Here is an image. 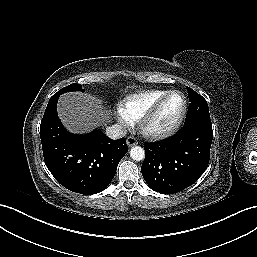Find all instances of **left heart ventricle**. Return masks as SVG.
Masks as SVG:
<instances>
[{
  "instance_id": "b2bd125f",
  "label": "left heart ventricle",
  "mask_w": 257,
  "mask_h": 257,
  "mask_svg": "<svg viewBox=\"0 0 257 257\" xmlns=\"http://www.w3.org/2000/svg\"><path fill=\"white\" fill-rule=\"evenodd\" d=\"M183 108V98L179 94L171 96L156 115L153 126L164 129L171 125L180 115Z\"/></svg>"
}]
</instances>
